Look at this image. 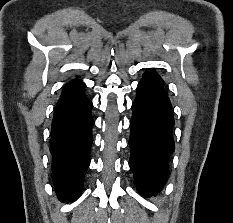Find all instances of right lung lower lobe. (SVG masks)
<instances>
[{"instance_id": "98d812e1", "label": "right lung lower lobe", "mask_w": 233, "mask_h": 223, "mask_svg": "<svg viewBox=\"0 0 233 223\" xmlns=\"http://www.w3.org/2000/svg\"><path fill=\"white\" fill-rule=\"evenodd\" d=\"M84 88L85 84L79 80L65 85L52 121V178L55 191L63 201L80 195L90 163L93 105Z\"/></svg>"}]
</instances>
